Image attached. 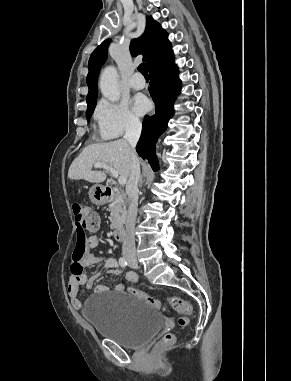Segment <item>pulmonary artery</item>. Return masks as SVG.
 <instances>
[{"label": "pulmonary artery", "mask_w": 291, "mask_h": 381, "mask_svg": "<svg viewBox=\"0 0 291 381\" xmlns=\"http://www.w3.org/2000/svg\"><path fill=\"white\" fill-rule=\"evenodd\" d=\"M129 85L135 90H141L145 87V80L140 73H135L130 78Z\"/></svg>", "instance_id": "e3ab8cb5"}]
</instances>
